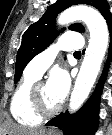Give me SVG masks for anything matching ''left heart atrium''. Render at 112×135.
<instances>
[{
  "label": "left heart atrium",
  "mask_w": 112,
  "mask_h": 135,
  "mask_svg": "<svg viewBox=\"0 0 112 135\" xmlns=\"http://www.w3.org/2000/svg\"><path fill=\"white\" fill-rule=\"evenodd\" d=\"M70 86V78L64 69H55L51 72L47 87L51 96L58 102L64 99Z\"/></svg>",
  "instance_id": "obj_1"
}]
</instances>
